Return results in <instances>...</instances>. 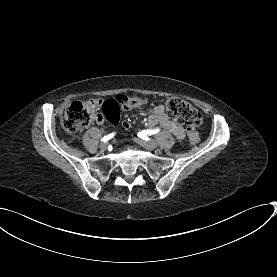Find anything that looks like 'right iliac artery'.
Listing matches in <instances>:
<instances>
[{
  "instance_id": "right-iliac-artery-1",
  "label": "right iliac artery",
  "mask_w": 277,
  "mask_h": 277,
  "mask_svg": "<svg viewBox=\"0 0 277 277\" xmlns=\"http://www.w3.org/2000/svg\"><path fill=\"white\" fill-rule=\"evenodd\" d=\"M114 135H115V134L112 133V134H109V135H107V136H104V137L101 139V141H102V142H107V141H108L109 139H111Z\"/></svg>"
}]
</instances>
